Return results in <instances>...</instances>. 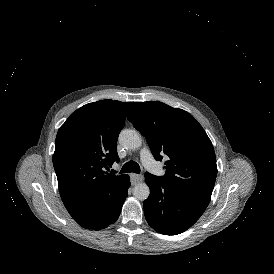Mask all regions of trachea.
Wrapping results in <instances>:
<instances>
[{"mask_svg": "<svg viewBox=\"0 0 274 274\" xmlns=\"http://www.w3.org/2000/svg\"><path fill=\"white\" fill-rule=\"evenodd\" d=\"M130 172H134V173H137V174L140 173V166L137 162L129 161V162L125 163L122 166V169L120 170L119 173H130Z\"/></svg>", "mask_w": 274, "mask_h": 274, "instance_id": "obj_1", "label": "trachea"}]
</instances>
